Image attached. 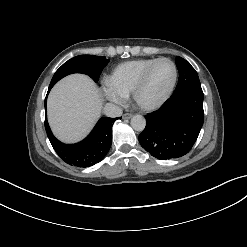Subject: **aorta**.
<instances>
[{"label": "aorta", "instance_id": "aorta-1", "mask_svg": "<svg viewBox=\"0 0 247 247\" xmlns=\"http://www.w3.org/2000/svg\"><path fill=\"white\" fill-rule=\"evenodd\" d=\"M146 125V120L141 115H135L131 119V126L136 131H143Z\"/></svg>", "mask_w": 247, "mask_h": 247}]
</instances>
